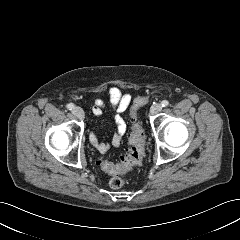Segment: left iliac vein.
<instances>
[{
  "label": "left iliac vein",
  "instance_id": "left-iliac-vein-1",
  "mask_svg": "<svg viewBox=\"0 0 240 240\" xmlns=\"http://www.w3.org/2000/svg\"><path fill=\"white\" fill-rule=\"evenodd\" d=\"M161 109H162L161 104H159V103L154 104V105H152L151 108H150V113H151L152 115H155V114L159 113V112L161 111Z\"/></svg>",
  "mask_w": 240,
  "mask_h": 240
}]
</instances>
